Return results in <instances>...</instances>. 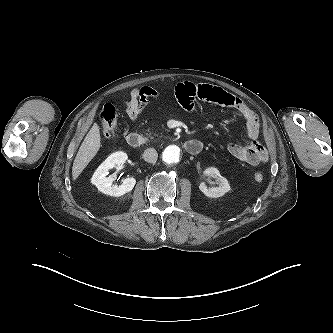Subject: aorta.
<instances>
[{"label":"aorta","mask_w":333,"mask_h":333,"mask_svg":"<svg viewBox=\"0 0 333 333\" xmlns=\"http://www.w3.org/2000/svg\"><path fill=\"white\" fill-rule=\"evenodd\" d=\"M179 158L180 148L176 145L167 146L162 153V159L167 164L177 163Z\"/></svg>","instance_id":"aorta-1"}]
</instances>
